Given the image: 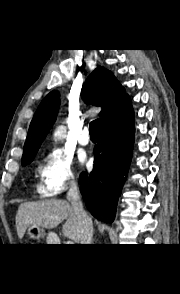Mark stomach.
<instances>
[{
	"label": "stomach",
	"mask_w": 180,
	"mask_h": 294,
	"mask_svg": "<svg viewBox=\"0 0 180 294\" xmlns=\"http://www.w3.org/2000/svg\"><path fill=\"white\" fill-rule=\"evenodd\" d=\"M27 235L29 238L31 239H34V240H40L44 237L45 235V232L43 230V228L39 227V226H36V225H30L27 230ZM53 237L52 234H49L48 235V238H47V244H51L48 240Z\"/></svg>",
	"instance_id": "1"
}]
</instances>
